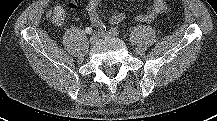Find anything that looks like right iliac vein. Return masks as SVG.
I'll return each mask as SVG.
<instances>
[{"label": "right iliac vein", "mask_w": 217, "mask_h": 121, "mask_svg": "<svg viewBox=\"0 0 217 121\" xmlns=\"http://www.w3.org/2000/svg\"><path fill=\"white\" fill-rule=\"evenodd\" d=\"M99 37H100V35H99L98 33L93 34V35L90 37V42H91V44L96 43V42L98 41Z\"/></svg>", "instance_id": "1"}]
</instances>
